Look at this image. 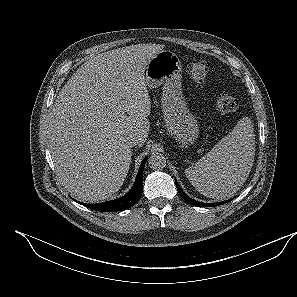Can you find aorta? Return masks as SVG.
<instances>
[{"mask_svg": "<svg viewBox=\"0 0 297 297\" xmlns=\"http://www.w3.org/2000/svg\"><path fill=\"white\" fill-rule=\"evenodd\" d=\"M148 164L153 170H162L166 166V158L161 153H153L148 159Z\"/></svg>", "mask_w": 297, "mask_h": 297, "instance_id": "1", "label": "aorta"}]
</instances>
